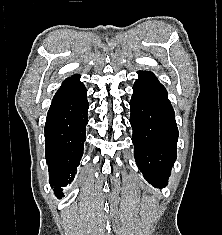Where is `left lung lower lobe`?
I'll list each match as a JSON object with an SVG mask.
<instances>
[{
    "label": "left lung lower lobe",
    "mask_w": 222,
    "mask_h": 235,
    "mask_svg": "<svg viewBox=\"0 0 222 235\" xmlns=\"http://www.w3.org/2000/svg\"><path fill=\"white\" fill-rule=\"evenodd\" d=\"M130 101L136 163L155 187L168 183L176 160L178 129L167 91L150 71H139Z\"/></svg>",
    "instance_id": "obj_1"
}]
</instances>
